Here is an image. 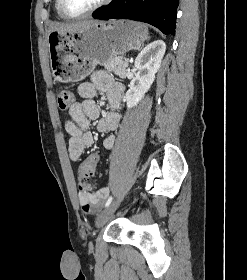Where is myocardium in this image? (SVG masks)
<instances>
[{"label":"myocardium","instance_id":"obj_1","mask_svg":"<svg viewBox=\"0 0 247 280\" xmlns=\"http://www.w3.org/2000/svg\"><path fill=\"white\" fill-rule=\"evenodd\" d=\"M112 0H100L97 4H95L93 7L89 8L88 10L78 13V14H73L70 13L67 8H66V4H65V0H59V9L61 14L67 18V19H78V18H82L85 16H88L94 12H96L97 10L103 8L104 6H106L107 4H109Z\"/></svg>","mask_w":247,"mask_h":280}]
</instances>
